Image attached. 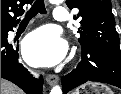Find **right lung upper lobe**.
<instances>
[{"instance_id": "cb5924a9", "label": "right lung upper lobe", "mask_w": 121, "mask_h": 94, "mask_svg": "<svg viewBox=\"0 0 121 94\" xmlns=\"http://www.w3.org/2000/svg\"><path fill=\"white\" fill-rule=\"evenodd\" d=\"M33 0H1V29L18 24L17 17L24 13L23 6Z\"/></svg>"}]
</instances>
